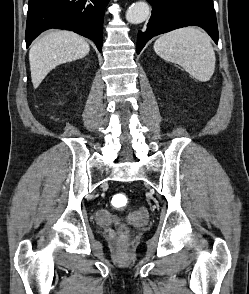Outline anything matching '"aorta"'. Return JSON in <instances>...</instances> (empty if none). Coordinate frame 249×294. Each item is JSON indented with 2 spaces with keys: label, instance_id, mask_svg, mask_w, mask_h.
<instances>
[{
  "label": "aorta",
  "instance_id": "aorta-1",
  "mask_svg": "<svg viewBox=\"0 0 249 294\" xmlns=\"http://www.w3.org/2000/svg\"><path fill=\"white\" fill-rule=\"evenodd\" d=\"M150 14L149 5L145 2L132 4L126 12V20L132 24L144 22Z\"/></svg>",
  "mask_w": 249,
  "mask_h": 294
}]
</instances>
